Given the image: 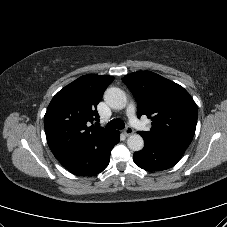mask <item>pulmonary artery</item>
<instances>
[{
    "mask_svg": "<svg viewBox=\"0 0 227 227\" xmlns=\"http://www.w3.org/2000/svg\"><path fill=\"white\" fill-rule=\"evenodd\" d=\"M127 115L129 117V121L130 123L136 127V128H139V129H142L143 128V125L142 123L136 118V115H135V107L133 104H130L127 108Z\"/></svg>",
    "mask_w": 227,
    "mask_h": 227,
    "instance_id": "obj_1",
    "label": "pulmonary artery"
}]
</instances>
